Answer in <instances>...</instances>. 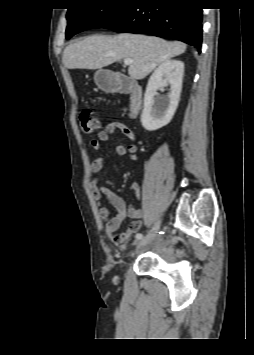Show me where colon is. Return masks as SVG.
I'll use <instances>...</instances> for the list:
<instances>
[{"label":"colon","instance_id":"1","mask_svg":"<svg viewBox=\"0 0 254 355\" xmlns=\"http://www.w3.org/2000/svg\"><path fill=\"white\" fill-rule=\"evenodd\" d=\"M79 120L85 132H93L100 127L99 117L92 109H84L79 115Z\"/></svg>","mask_w":254,"mask_h":355}]
</instances>
